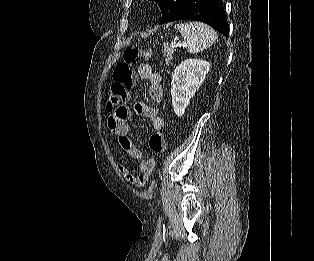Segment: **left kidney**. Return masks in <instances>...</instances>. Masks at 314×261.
Instances as JSON below:
<instances>
[{
  "label": "left kidney",
  "instance_id": "left-kidney-1",
  "mask_svg": "<svg viewBox=\"0 0 314 261\" xmlns=\"http://www.w3.org/2000/svg\"><path fill=\"white\" fill-rule=\"evenodd\" d=\"M209 70L210 63L200 59H187L174 70L171 95L172 106L178 117L184 115L190 99L200 88Z\"/></svg>",
  "mask_w": 314,
  "mask_h": 261
}]
</instances>
